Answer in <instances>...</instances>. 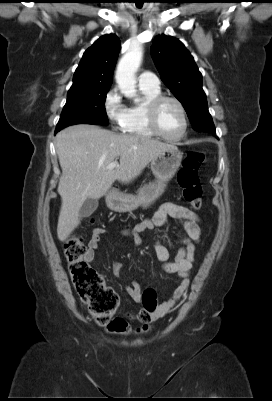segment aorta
<instances>
[{
    "label": "aorta",
    "mask_w": 272,
    "mask_h": 401,
    "mask_svg": "<svg viewBox=\"0 0 272 401\" xmlns=\"http://www.w3.org/2000/svg\"><path fill=\"white\" fill-rule=\"evenodd\" d=\"M143 56L142 47L134 45L119 61L116 70V82L121 93L127 98H135L139 102L136 93V77Z\"/></svg>",
    "instance_id": "obj_1"
}]
</instances>
